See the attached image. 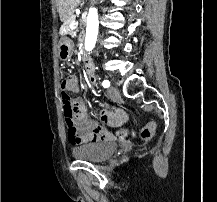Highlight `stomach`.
Masks as SVG:
<instances>
[{"label": "stomach", "instance_id": "obj_1", "mask_svg": "<svg viewBox=\"0 0 217 202\" xmlns=\"http://www.w3.org/2000/svg\"><path fill=\"white\" fill-rule=\"evenodd\" d=\"M73 54V42L69 38H61L58 46L60 60H69Z\"/></svg>", "mask_w": 217, "mask_h": 202}]
</instances>
